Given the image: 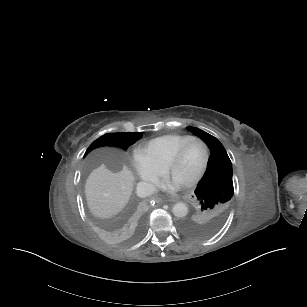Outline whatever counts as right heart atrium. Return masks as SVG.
Wrapping results in <instances>:
<instances>
[{
  "instance_id": "d8ad5b80",
  "label": "right heart atrium",
  "mask_w": 307,
  "mask_h": 307,
  "mask_svg": "<svg viewBox=\"0 0 307 307\" xmlns=\"http://www.w3.org/2000/svg\"><path fill=\"white\" fill-rule=\"evenodd\" d=\"M132 167L142 180L156 181L162 176V169L140 154L132 153Z\"/></svg>"
}]
</instances>
